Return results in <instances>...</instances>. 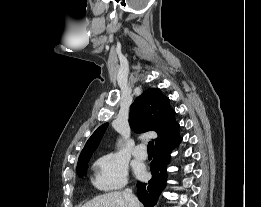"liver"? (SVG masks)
I'll return each mask as SVG.
<instances>
[{
	"mask_svg": "<svg viewBox=\"0 0 261 207\" xmlns=\"http://www.w3.org/2000/svg\"><path fill=\"white\" fill-rule=\"evenodd\" d=\"M83 207H129V204L122 192H110L96 196Z\"/></svg>",
	"mask_w": 261,
	"mask_h": 207,
	"instance_id": "liver-1",
	"label": "liver"
}]
</instances>
